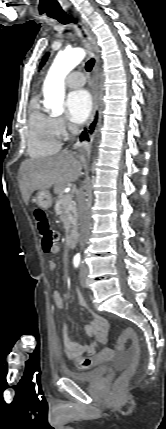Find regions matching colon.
I'll list each match as a JSON object with an SVG mask.
<instances>
[{"instance_id": "5ec220e1", "label": "colon", "mask_w": 166, "mask_h": 429, "mask_svg": "<svg viewBox=\"0 0 166 429\" xmlns=\"http://www.w3.org/2000/svg\"><path fill=\"white\" fill-rule=\"evenodd\" d=\"M38 231L42 240V248L48 253L59 241L58 233L51 227L44 212L40 209L35 212ZM127 342L131 343L132 360L130 365L117 379V386H123L135 373L139 360V342L135 332L131 329L124 330L116 340V348L123 350Z\"/></svg>"}]
</instances>
